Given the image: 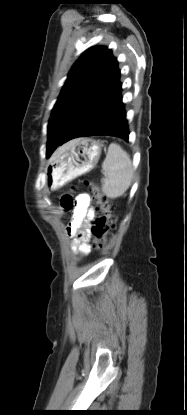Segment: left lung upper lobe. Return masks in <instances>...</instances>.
<instances>
[{
	"instance_id": "left-lung-upper-lobe-1",
	"label": "left lung upper lobe",
	"mask_w": 187,
	"mask_h": 415,
	"mask_svg": "<svg viewBox=\"0 0 187 415\" xmlns=\"http://www.w3.org/2000/svg\"><path fill=\"white\" fill-rule=\"evenodd\" d=\"M111 57L107 47H91L71 68L49 119L47 157L78 119L91 115L96 106V101L89 99L91 88Z\"/></svg>"
}]
</instances>
